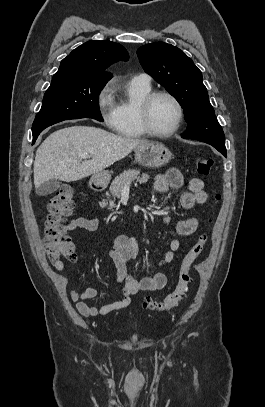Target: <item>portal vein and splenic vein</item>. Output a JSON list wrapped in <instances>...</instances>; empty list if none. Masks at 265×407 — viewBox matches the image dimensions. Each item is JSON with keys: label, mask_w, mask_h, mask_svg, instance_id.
I'll return each instance as SVG.
<instances>
[{"label": "portal vein and splenic vein", "mask_w": 265, "mask_h": 407, "mask_svg": "<svg viewBox=\"0 0 265 407\" xmlns=\"http://www.w3.org/2000/svg\"><path fill=\"white\" fill-rule=\"evenodd\" d=\"M82 157H83L84 159L90 158L89 155H83ZM125 188H126V189H129V186H125Z\"/></svg>", "instance_id": "obj_1"}]
</instances>
